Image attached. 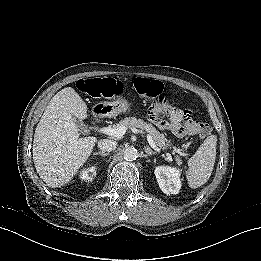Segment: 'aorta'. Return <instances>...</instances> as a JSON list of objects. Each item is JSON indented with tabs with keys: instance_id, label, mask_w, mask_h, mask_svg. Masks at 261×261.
<instances>
[{
	"instance_id": "obj_1",
	"label": "aorta",
	"mask_w": 261,
	"mask_h": 261,
	"mask_svg": "<svg viewBox=\"0 0 261 261\" xmlns=\"http://www.w3.org/2000/svg\"><path fill=\"white\" fill-rule=\"evenodd\" d=\"M138 153L134 147H128L124 150L123 157L127 161H133L137 158Z\"/></svg>"
}]
</instances>
